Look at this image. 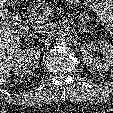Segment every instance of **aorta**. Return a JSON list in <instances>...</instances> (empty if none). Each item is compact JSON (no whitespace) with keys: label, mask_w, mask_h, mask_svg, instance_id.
I'll use <instances>...</instances> for the list:
<instances>
[{"label":"aorta","mask_w":113,"mask_h":113,"mask_svg":"<svg viewBox=\"0 0 113 113\" xmlns=\"http://www.w3.org/2000/svg\"><path fill=\"white\" fill-rule=\"evenodd\" d=\"M72 39V33L68 28H61L55 34V40L59 44H67Z\"/></svg>","instance_id":"aorta-1"}]
</instances>
